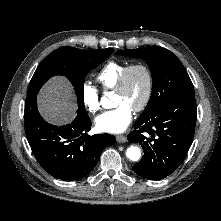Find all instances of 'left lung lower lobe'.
Returning a JSON list of instances; mask_svg holds the SVG:
<instances>
[{
  "label": "left lung lower lobe",
  "instance_id": "left-lung-lower-lobe-1",
  "mask_svg": "<svg viewBox=\"0 0 221 221\" xmlns=\"http://www.w3.org/2000/svg\"><path fill=\"white\" fill-rule=\"evenodd\" d=\"M195 125V97L171 101L139 117L134 123L135 130L127 136L144 150V156L133 167L134 172L149 180L172 174L186 157Z\"/></svg>",
  "mask_w": 221,
  "mask_h": 221
}]
</instances>
